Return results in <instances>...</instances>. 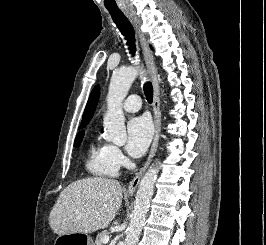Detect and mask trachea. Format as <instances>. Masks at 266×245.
Returning <instances> with one entry per match:
<instances>
[{
  "instance_id": "3493384b",
  "label": "trachea",
  "mask_w": 266,
  "mask_h": 245,
  "mask_svg": "<svg viewBox=\"0 0 266 245\" xmlns=\"http://www.w3.org/2000/svg\"><path fill=\"white\" fill-rule=\"evenodd\" d=\"M112 19L116 23L120 32L125 36L128 41L129 50L132 55L135 53V38H134V30L129 23L128 19L125 17L123 13H111ZM144 94L148 102L152 103L153 101V87L150 82L145 83L144 85Z\"/></svg>"
}]
</instances>
